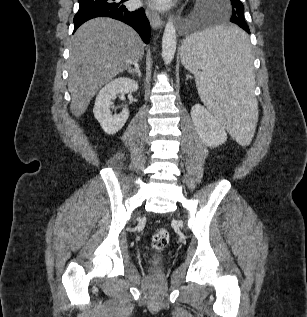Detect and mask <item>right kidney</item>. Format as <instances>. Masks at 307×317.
Returning <instances> with one entry per match:
<instances>
[{
	"label": "right kidney",
	"mask_w": 307,
	"mask_h": 317,
	"mask_svg": "<svg viewBox=\"0 0 307 317\" xmlns=\"http://www.w3.org/2000/svg\"><path fill=\"white\" fill-rule=\"evenodd\" d=\"M137 90V82L126 77H120L110 81L99 91L95 100L93 113L107 134L113 135L117 133L129 117V110L126 108L120 114L112 115L110 110L111 101L116 99L119 94L124 95Z\"/></svg>",
	"instance_id": "ca27d5eb"
}]
</instances>
